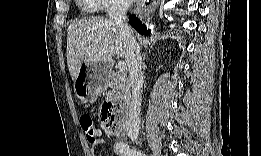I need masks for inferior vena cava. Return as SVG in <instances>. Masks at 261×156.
<instances>
[{
	"label": "inferior vena cava",
	"instance_id": "obj_1",
	"mask_svg": "<svg viewBox=\"0 0 261 156\" xmlns=\"http://www.w3.org/2000/svg\"><path fill=\"white\" fill-rule=\"evenodd\" d=\"M129 8L127 0H112L107 8L109 20L114 23L126 38L125 58L129 69L132 98L127 122L128 136L137 140L140 130V111L142 101L143 73L142 58L139 45L126 23V12Z\"/></svg>",
	"mask_w": 261,
	"mask_h": 156
}]
</instances>
